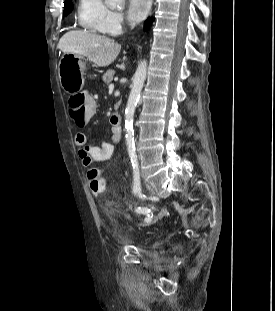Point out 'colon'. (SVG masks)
I'll return each instance as SVG.
<instances>
[{
	"label": "colon",
	"instance_id": "1",
	"mask_svg": "<svg viewBox=\"0 0 275 311\" xmlns=\"http://www.w3.org/2000/svg\"><path fill=\"white\" fill-rule=\"evenodd\" d=\"M97 102L88 94H76L70 97L68 109L71 117L75 120V129H86L91 117H96ZM112 123V120H111ZM87 180L91 191L102 194L105 191V180L97 167H90L87 171Z\"/></svg>",
	"mask_w": 275,
	"mask_h": 311
}]
</instances>
